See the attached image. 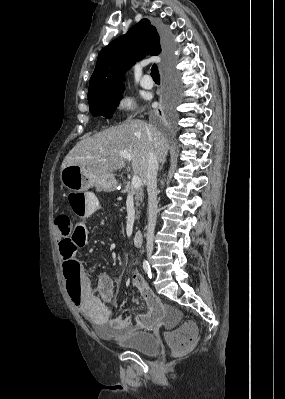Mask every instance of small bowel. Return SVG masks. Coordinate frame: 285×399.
<instances>
[{
	"mask_svg": "<svg viewBox=\"0 0 285 399\" xmlns=\"http://www.w3.org/2000/svg\"><path fill=\"white\" fill-rule=\"evenodd\" d=\"M100 211L101 205L97 197L92 193H87V201L82 214L89 217L98 214ZM57 234L59 238L63 235V231L58 227ZM71 272L78 283V300L75 301L69 294L67 288L69 279L65 277L67 294L80 313L95 325L107 326L116 334L126 335L138 329L161 327L165 318L170 316L164 304L151 291L145 277L139 271L133 272L132 281L146 303L147 312L138 314L134 321L131 316L112 315L110 303L113 298V285L108 278L99 275L97 277V290L94 291L86 270L79 260L74 261Z\"/></svg>",
	"mask_w": 285,
	"mask_h": 399,
	"instance_id": "c3829d8e",
	"label": "small bowel"
}]
</instances>
